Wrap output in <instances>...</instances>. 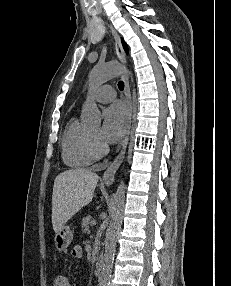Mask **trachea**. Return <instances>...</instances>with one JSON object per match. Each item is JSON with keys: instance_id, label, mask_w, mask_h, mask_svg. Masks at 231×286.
Masks as SVG:
<instances>
[{"instance_id": "3493384b", "label": "trachea", "mask_w": 231, "mask_h": 286, "mask_svg": "<svg viewBox=\"0 0 231 286\" xmlns=\"http://www.w3.org/2000/svg\"><path fill=\"white\" fill-rule=\"evenodd\" d=\"M118 88H119L120 91H123V90H124V82H123V81H120V82L118 83Z\"/></svg>"}]
</instances>
